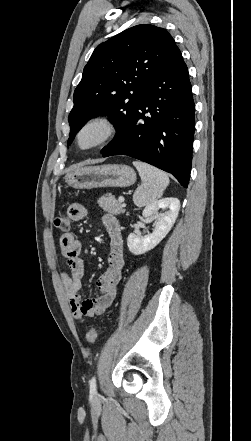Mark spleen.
I'll return each instance as SVG.
<instances>
[{
    "label": "spleen",
    "mask_w": 251,
    "mask_h": 441,
    "mask_svg": "<svg viewBox=\"0 0 251 441\" xmlns=\"http://www.w3.org/2000/svg\"><path fill=\"white\" fill-rule=\"evenodd\" d=\"M133 165L138 170L142 181L133 195L135 205L144 207L156 202L169 185L167 174L141 161H133Z\"/></svg>",
    "instance_id": "3e777b00"
}]
</instances>
